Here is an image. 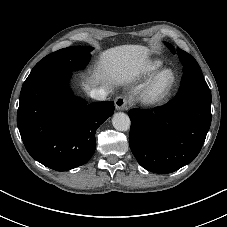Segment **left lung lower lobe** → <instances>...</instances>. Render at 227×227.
<instances>
[{
  "mask_svg": "<svg viewBox=\"0 0 227 227\" xmlns=\"http://www.w3.org/2000/svg\"><path fill=\"white\" fill-rule=\"evenodd\" d=\"M211 102L171 100L163 106L131 109L129 145L138 163L155 173H171L192 162L211 124Z\"/></svg>",
  "mask_w": 227,
  "mask_h": 227,
  "instance_id": "0a47b994",
  "label": "left lung lower lobe"
}]
</instances>
